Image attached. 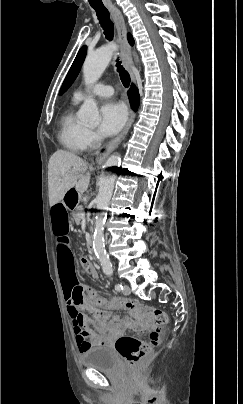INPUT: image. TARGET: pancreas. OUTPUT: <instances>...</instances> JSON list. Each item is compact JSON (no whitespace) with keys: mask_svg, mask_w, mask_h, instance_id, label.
I'll list each match as a JSON object with an SVG mask.
<instances>
[{"mask_svg":"<svg viewBox=\"0 0 243 404\" xmlns=\"http://www.w3.org/2000/svg\"><path fill=\"white\" fill-rule=\"evenodd\" d=\"M77 213L73 214V219L75 220L76 225H79L80 220H79V216L78 214H84V212H82V206H78V208H76Z\"/></svg>","mask_w":243,"mask_h":404,"instance_id":"1","label":"pancreas"}]
</instances>
